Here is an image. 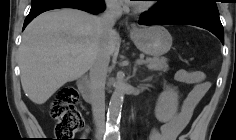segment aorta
Listing matches in <instances>:
<instances>
[{"label":"aorta","instance_id":"obj_1","mask_svg":"<svg viewBox=\"0 0 236 140\" xmlns=\"http://www.w3.org/2000/svg\"><path fill=\"white\" fill-rule=\"evenodd\" d=\"M124 94V86L121 82H118L111 96L107 112L106 137L108 140H116L119 138L118 124L121 117Z\"/></svg>","mask_w":236,"mask_h":140}]
</instances>
